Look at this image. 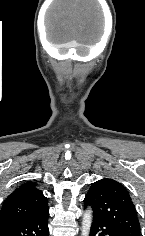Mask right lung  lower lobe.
Wrapping results in <instances>:
<instances>
[{
    "instance_id": "98d812e1",
    "label": "right lung lower lobe",
    "mask_w": 145,
    "mask_h": 236,
    "mask_svg": "<svg viewBox=\"0 0 145 236\" xmlns=\"http://www.w3.org/2000/svg\"><path fill=\"white\" fill-rule=\"evenodd\" d=\"M49 210L0 225V236H49Z\"/></svg>"
}]
</instances>
